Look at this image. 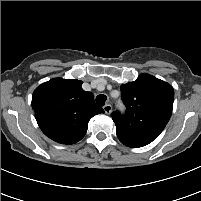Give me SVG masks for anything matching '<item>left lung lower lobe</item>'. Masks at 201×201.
Returning a JSON list of instances; mask_svg holds the SVG:
<instances>
[{
  "label": "left lung lower lobe",
  "instance_id": "obj_1",
  "mask_svg": "<svg viewBox=\"0 0 201 201\" xmlns=\"http://www.w3.org/2000/svg\"><path fill=\"white\" fill-rule=\"evenodd\" d=\"M120 142L123 143L124 145L128 146V147H143L148 145L150 142L147 141H142V140H136V139H131V138H127L121 135H117Z\"/></svg>",
  "mask_w": 201,
  "mask_h": 201
}]
</instances>
